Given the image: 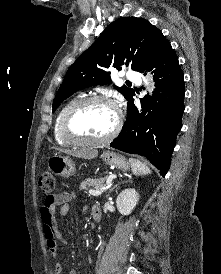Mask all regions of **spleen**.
I'll use <instances>...</instances> for the list:
<instances>
[{
    "instance_id": "1",
    "label": "spleen",
    "mask_w": 221,
    "mask_h": 274,
    "mask_svg": "<svg viewBox=\"0 0 221 274\" xmlns=\"http://www.w3.org/2000/svg\"><path fill=\"white\" fill-rule=\"evenodd\" d=\"M129 162L134 175L142 176L151 173L150 168L145 163H142L141 161L134 158H130Z\"/></svg>"
}]
</instances>
